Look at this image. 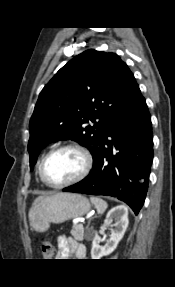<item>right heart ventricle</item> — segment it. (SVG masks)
<instances>
[{"instance_id": "obj_1", "label": "right heart ventricle", "mask_w": 175, "mask_h": 287, "mask_svg": "<svg viewBox=\"0 0 175 287\" xmlns=\"http://www.w3.org/2000/svg\"><path fill=\"white\" fill-rule=\"evenodd\" d=\"M41 163V162H40ZM39 168H40V164H39V166H38V172H39Z\"/></svg>"}]
</instances>
